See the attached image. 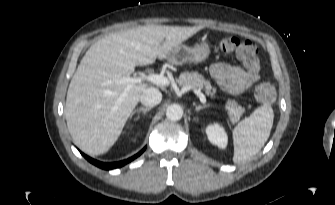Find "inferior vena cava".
<instances>
[{
  "label": "inferior vena cava",
  "mask_w": 335,
  "mask_h": 205,
  "mask_svg": "<svg viewBox=\"0 0 335 205\" xmlns=\"http://www.w3.org/2000/svg\"><path fill=\"white\" fill-rule=\"evenodd\" d=\"M162 100L161 92L153 87L146 88L140 96V101L146 107L158 105Z\"/></svg>",
  "instance_id": "inferior-vena-cava-1"
}]
</instances>
